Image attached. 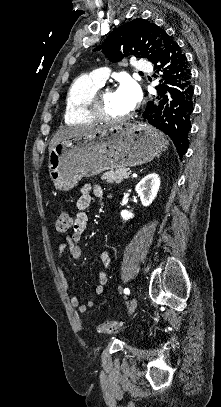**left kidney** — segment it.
Instances as JSON below:
<instances>
[{
    "label": "left kidney",
    "instance_id": "left-kidney-1",
    "mask_svg": "<svg viewBox=\"0 0 221 407\" xmlns=\"http://www.w3.org/2000/svg\"><path fill=\"white\" fill-rule=\"evenodd\" d=\"M160 178L158 174L152 173L145 176L137 185L136 192L140 197L143 206H149L159 191ZM121 217L124 221H127L134 217V214L128 210L121 211Z\"/></svg>",
    "mask_w": 221,
    "mask_h": 407
}]
</instances>
